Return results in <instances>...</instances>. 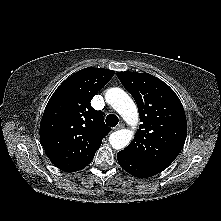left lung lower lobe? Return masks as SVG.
<instances>
[{
	"label": "left lung lower lobe",
	"instance_id": "obj_1",
	"mask_svg": "<svg viewBox=\"0 0 221 221\" xmlns=\"http://www.w3.org/2000/svg\"><path fill=\"white\" fill-rule=\"evenodd\" d=\"M117 159L124 170L139 178H147L162 171L154 166L135 159L133 156L123 151L117 153Z\"/></svg>",
	"mask_w": 221,
	"mask_h": 221
}]
</instances>
